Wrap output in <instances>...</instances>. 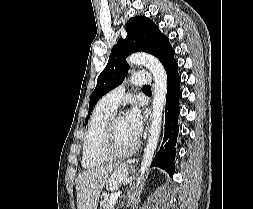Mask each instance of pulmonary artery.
Masks as SVG:
<instances>
[{"label": "pulmonary artery", "instance_id": "e3ab8cb5", "mask_svg": "<svg viewBox=\"0 0 253 209\" xmlns=\"http://www.w3.org/2000/svg\"><path fill=\"white\" fill-rule=\"evenodd\" d=\"M130 82L134 86H141L143 84H146V86H148L151 84L152 78H151L150 73L147 71H136L133 73ZM124 92H125V87L119 86L111 90L110 92H108L102 98V101L104 104L108 105L109 107L116 109L123 97Z\"/></svg>", "mask_w": 253, "mask_h": 209}]
</instances>
